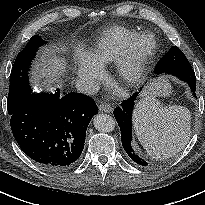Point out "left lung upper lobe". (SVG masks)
I'll list each match as a JSON object with an SVG mask.
<instances>
[{
    "mask_svg": "<svg viewBox=\"0 0 205 205\" xmlns=\"http://www.w3.org/2000/svg\"><path fill=\"white\" fill-rule=\"evenodd\" d=\"M181 68H191V65L184 53L178 47L172 46L160 60L155 69V73L160 74L166 71Z\"/></svg>",
    "mask_w": 205,
    "mask_h": 205,
    "instance_id": "5c2ea615",
    "label": "left lung upper lobe"
}]
</instances>
